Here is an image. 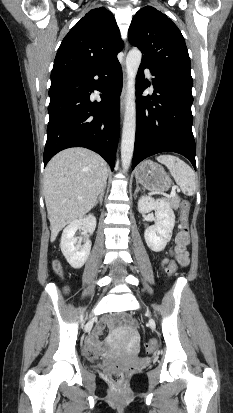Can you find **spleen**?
Instances as JSON below:
<instances>
[{
	"label": "spleen",
	"mask_w": 233,
	"mask_h": 413,
	"mask_svg": "<svg viewBox=\"0 0 233 413\" xmlns=\"http://www.w3.org/2000/svg\"><path fill=\"white\" fill-rule=\"evenodd\" d=\"M157 160L168 168L176 184L184 194L192 196L195 193V174L188 164L172 155H161Z\"/></svg>",
	"instance_id": "spleen-1"
}]
</instances>
